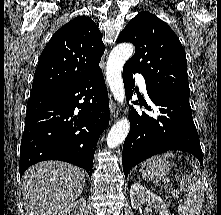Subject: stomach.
I'll return each instance as SVG.
<instances>
[{
	"mask_svg": "<svg viewBox=\"0 0 221 215\" xmlns=\"http://www.w3.org/2000/svg\"><path fill=\"white\" fill-rule=\"evenodd\" d=\"M140 171L145 180H160L166 178L170 167L166 158L163 155H159L144 162Z\"/></svg>",
	"mask_w": 221,
	"mask_h": 215,
	"instance_id": "1",
	"label": "stomach"
}]
</instances>
